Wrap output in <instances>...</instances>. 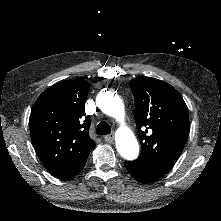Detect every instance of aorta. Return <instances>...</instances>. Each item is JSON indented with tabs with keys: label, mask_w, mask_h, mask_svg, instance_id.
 Masks as SVG:
<instances>
[{
	"label": "aorta",
	"mask_w": 221,
	"mask_h": 221,
	"mask_svg": "<svg viewBox=\"0 0 221 221\" xmlns=\"http://www.w3.org/2000/svg\"><path fill=\"white\" fill-rule=\"evenodd\" d=\"M101 110L118 121L125 117L124 104L120 97L113 93L105 94L100 100ZM116 148L118 153L127 160H135L139 155V145L134 133L126 126L116 132Z\"/></svg>",
	"instance_id": "aorta-1"
}]
</instances>
